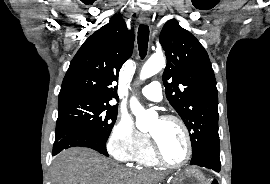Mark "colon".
<instances>
[{
  "instance_id": "colon-1",
  "label": "colon",
  "mask_w": 270,
  "mask_h": 184,
  "mask_svg": "<svg viewBox=\"0 0 270 184\" xmlns=\"http://www.w3.org/2000/svg\"><path fill=\"white\" fill-rule=\"evenodd\" d=\"M210 184H218L217 180L213 179L211 180Z\"/></svg>"
}]
</instances>
